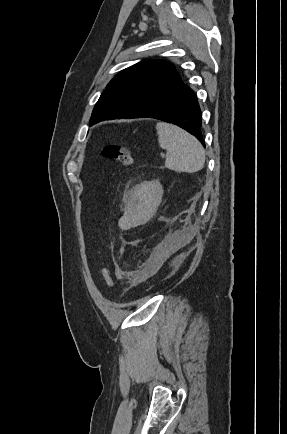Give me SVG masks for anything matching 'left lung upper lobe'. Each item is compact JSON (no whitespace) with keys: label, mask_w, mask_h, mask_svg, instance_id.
Segmentation results:
<instances>
[{"label":"left lung upper lobe","mask_w":287,"mask_h":434,"mask_svg":"<svg viewBox=\"0 0 287 434\" xmlns=\"http://www.w3.org/2000/svg\"><path fill=\"white\" fill-rule=\"evenodd\" d=\"M183 84L169 62L153 60L118 73L96 103L90 125L108 119L131 118L140 109L158 102Z\"/></svg>","instance_id":"1"}]
</instances>
